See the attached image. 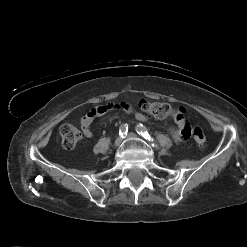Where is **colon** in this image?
I'll return each mask as SVG.
<instances>
[{"label":"colon","mask_w":247,"mask_h":247,"mask_svg":"<svg viewBox=\"0 0 247 247\" xmlns=\"http://www.w3.org/2000/svg\"><path fill=\"white\" fill-rule=\"evenodd\" d=\"M139 108L145 113L156 117V118H166L169 116L183 115V109H175L167 103L164 102H150L147 100H141L139 102ZM190 135L194 143L201 147L206 142V134L200 127H195L190 130ZM60 137L64 148L73 149L82 138V133L73 124H63L60 127Z\"/></svg>","instance_id":"5ec220e1"}]
</instances>
